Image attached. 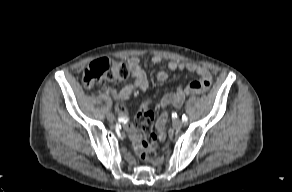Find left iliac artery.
I'll use <instances>...</instances> for the list:
<instances>
[{
	"mask_svg": "<svg viewBox=\"0 0 292 192\" xmlns=\"http://www.w3.org/2000/svg\"><path fill=\"white\" fill-rule=\"evenodd\" d=\"M182 121H183V122H187V121H188V117H187L186 115H183V116H182Z\"/></svg>",
	"mask_w": 292,
	"mask_h": 192,
	"instance_id": "obj_1",
	"label": "left iliac artery"
}]
</instances>
